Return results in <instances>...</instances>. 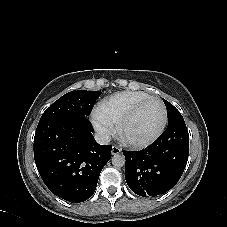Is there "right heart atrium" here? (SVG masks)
Wrapping results in <instances>:
<instances>
[{
	"label": "right heart atrium",
	"mask_w": 227,
	"mask_h": 227,
	"mask_svg": "<svg viewBox=\"0 0 227 227\" xmlns=\"http://www.w3.org/2000/svg\"><path fill=\"white\" fill-rule=\"evenodd\" d=\"M92 124L103 139L109 138L114 132V126L107 119L100 116L96 110L92 114Z\"/></svg>",
	"instance_id": "1"
}]
</instances>
